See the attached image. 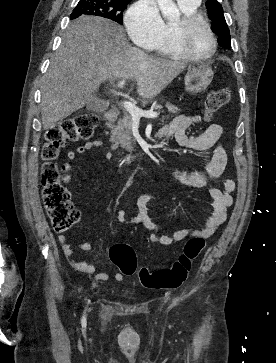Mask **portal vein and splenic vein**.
I'll list each match as a JSON object with an SVG mask.
<instances>
[{"label":"portal vein and splenic vein","instance_id":"1","mask_svg":"<svg viewBox=\"0 0 276 363\" xmlns=\"http://www.w3.org/2000/svg\"><path fill=\"white\" fill-rule=\"evenodd\" d=\"M124 85H125V80H120L117 83L118 88H122ZM122 105L126 109V111H128L130 113L132 118L135 120H139L141 117H145V118H157L158 117V113L153 112V111H143L142 109H140L135 104H133L129 101L122 102Z\"/></svg>","mask_w":276,"mask_h":363}]
</instances>
